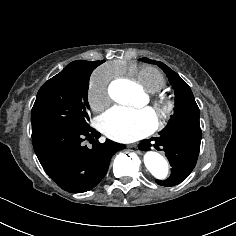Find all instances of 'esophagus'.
<instances>
[{
  "label": "esophagus",
  "instance_id": "esophagus-1",
  "mask_svg": "<svg viewBox=\"0 0 236 236\" xmlns=\"http://www.w3.org/2000/svg\"><path fill=\"white\" fill-rule=\"evenodd\" d=\"M130 148L135 147V145H129Z\"/></svg>",
  "mask_w": 236,
  "mask_h": 236
}]
</instances>
